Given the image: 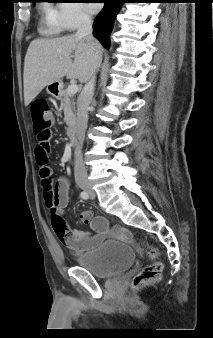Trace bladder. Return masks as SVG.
I'll return each instance as SVG.
<instances>
[{
  "label": "bladder",
  "mask_w": 213,
  "mask_h": 338,
  "mask_svg": "<svg viewBox=\"0 0 213 338\" xmlns=\"http://www.w3.org/2000/svg\"><path fill=\"white\" fill-rule=\"evenodd\" d=\"M134 252L127 243L101 242L89 252L79 255V267L97 279H109L124 272L134 263Z\"/></svg>",
  "instance_id": "31cf9c89"
}]
</instances>
